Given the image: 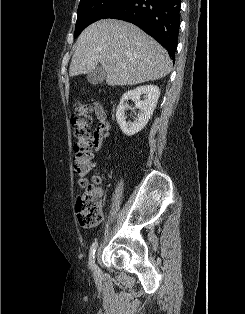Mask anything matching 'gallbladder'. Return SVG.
<instances>
[{
	"label": "gallbladder",
	"mask_w": 245,
	"mask_h": 314,
	"mask_svg": "<svg viewBox=\"0 0 245 314\" xmlns=\"http://www.w3.org/2000/svg\"><path fill=\"white\" fill-rule=\"evenodd\" d=\"M106 78V72L103 67L97 66L87 74V80L92 85L101 84Z\"/></svg>",
	"instance_id": "gallbladder-1"
}]
</instances>
